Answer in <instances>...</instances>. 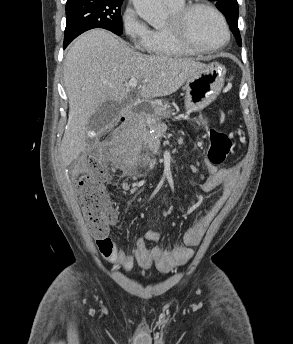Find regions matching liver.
Listing matches in <instances>:
<instances>
[{"label":"liver","instance_id":"liver-1","mask_svg":"<svg viewBox=\"0 0 293 344\" xmlns=\"http://www.w3.org/2000/svg\"><path fill=\"white\" fill-rule=\"evenodd\" d=\"M203 67L204 63L189 58L144 55L102 29L81 35L64 62L69 117L60 150L63 165L71 164L85 150L86 126L97 108L128 97L129 79L142 82L138 95L148 100L176 92Z\"/></svg>","mask_w":293,"mask_h":344}]
</instances>
